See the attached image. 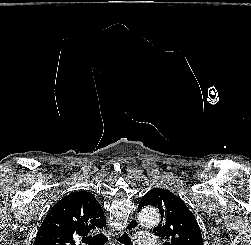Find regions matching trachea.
Returning a JSON list of instances; mask_svg holds the SVG:
<instances>
[{
	"mask_svg": "<svg viewBox=\"0 0 251 245\" xmlns=\"http://www.w3.org/2000/svg\"><path fill=\"white\" fill-rule=\"evenodd\" d=\"M107 240H108V238L103 233L97 234L93 237H83L82 238V242L89 244V245H105ZM117 240L120 243H123L124 245L131 244V239L126 233H123V235L120 236Z\"/></svg>",
	"mask_w": 251,
	"mask_h": 245,
	"instance_id": "3493384b",
	"label": "trachea"
}]
</instances>
